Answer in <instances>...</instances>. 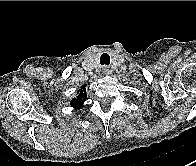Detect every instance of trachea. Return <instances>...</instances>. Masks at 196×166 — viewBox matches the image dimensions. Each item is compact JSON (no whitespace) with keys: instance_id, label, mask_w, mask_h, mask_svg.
Masks as SVG:
<instances>
[{"instance_id":"trachea-1","label":"trachea","mask_w":196,"mask_h":166,"mask_svg":"<svg viewBox=\"0 0 196 166\" xmlns=\"http://www.w3.org/2000/svg\"><path fill=\"white\" fill-rule=\"evenodd\" d=\"M100 64L101 65H109L110 64V56L107 53H103L100 56Z\"/></svg>"}]
</instances>
